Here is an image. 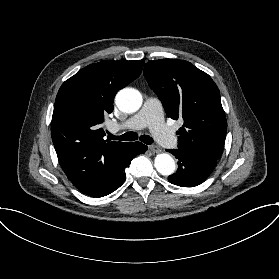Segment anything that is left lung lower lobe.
Wrapping results in <instances>:
<instances>
[{
    "label": "left lung lower lobe",
    "mask_w": 279,
    "mask_h": 279,
    "mask_svg": "<svg viewBox=\"0 0 279 279\" xmlns=\"http://www.w3.org/2000/svg\"><path fill=\"white\" fill-rule=\"evenodd\" d=\"M178 161L177 172L168 177L170 183L182 187H194L204 182L217 164V160L184 151L180 148L167 150Z\"/></svg>",
    "instance_id": "1"
}]
</instances>
